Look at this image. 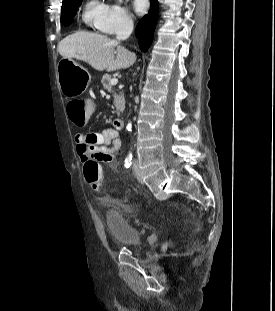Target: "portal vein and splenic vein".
I'll use <instances>...</instances> for the list:
<instances>
[{
  "mask_svg": "<svg viewBox=\"0 0 275 311\" xmlns=\"http://www.w3.org/2000/svg\"><path fill=\"white\" fill-rule=\"evenodd\" d=\"M118 83V79L114 78L111 80L110 84L111 85H116Z\"/></svg>",
  "mask_w": 275,
  "mask_h": 311,
  "instance_id": "portal-vein-and-splenic-vein-1",
  "label": "portal vein and splenic vein"
}]
</instances>
